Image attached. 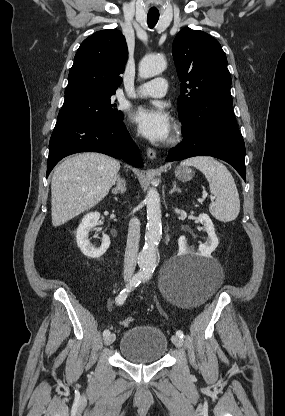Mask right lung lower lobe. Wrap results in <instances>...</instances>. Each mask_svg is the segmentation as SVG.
Segmentation results:
<instances>
[{"instance_id": "right-lung-lower-lobe-1", "label": "right lung lower lobe", "mask_w": 285, "mask_h": 416, "mask_svg": "<svg viewBox=\"0 0 285 416\" xmlns=\"http://www.w3.org/2000/svg\"><path fill=\"white\" fill-rule=\"evenodd\" d=\"M78 152L104 153L134 167H142L139 149L123 122L56 124L49 143L47 176L62 158Z\"/></svg>"}]
</instances>
